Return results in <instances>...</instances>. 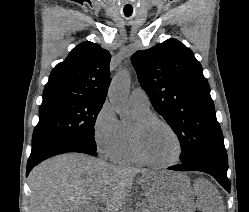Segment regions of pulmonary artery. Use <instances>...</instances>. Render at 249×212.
<instances>
[{"label": "pulmonary artery", "instance_id": "e3ab8cb5", "mask_svg": "<svg viewBox=\"0 0 249 212\" xmlns=\"http://www.w3.org/2000/svg\"><path fill=\"white\" fill-rule=\"evenodd\" d=\"M121 55L127 56L129 54H121ZM130 104L132 107L142 109V110H149L150 108L149 98L146 92L140 87H136L132 90L131 95H130Z\"/></svg>", "mask_w": 249, "mask_h": 212}]
</instances>
